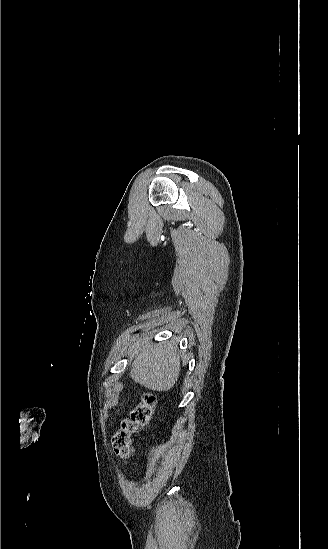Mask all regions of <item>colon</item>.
<instances>
[{
	"instance_id": "obj_1",
	"label": "colon",
	"mask_w": 328,
	"mask_h": 549,
	"mask_svg": "<svg viewBox=\"0 0 328 549\" xmlns=\"http://www.w3.org/2000/svg\"><path fill=\"white\" fill-rule=\"evenodd\" d=\"M155 406V397L150 393H146L141 403L133 408L129 417L122 422L120 429L113 437L115 452L121 459L127 460L132 455V434L150 421Z\"/></svg>"
}]
</instances>
